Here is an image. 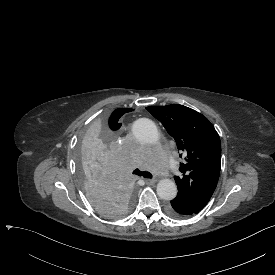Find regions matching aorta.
I'll use <instances>...</instances> for the list:
<instances>
[{
    "instance_id": "762f6f07",
    "label": "aorta",
    "mask_w": 275,
    "mask_h": 275,
    "mask_svg": "<svg viewBox=\"0 0 275 275\" xmlns=\"http://www.w3.org/2000/svg\"><path fill=\"white\" fill-rule=\"evenodd\" d=\"M133 135L142 142H154L158 138V130L154 122L148 118H139L132 126ZM157 194L162 200H173L177 196L174 182L165 179L157 185Z\"/></svg>"
}]
</instances>
